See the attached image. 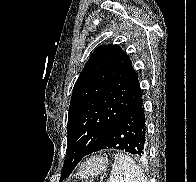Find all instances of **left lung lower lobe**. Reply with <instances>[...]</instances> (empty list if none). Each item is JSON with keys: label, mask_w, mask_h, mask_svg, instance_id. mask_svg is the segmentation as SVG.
Wrapping results in <instances>:
<instances>
[{"label": "left lung lower lobe", "mask_w": 196, "mask_h": 182, "mask_svg": "<svg viewBox=\"0 0 196 182\" xmlns=\"http://www.w3.org/2000/svg\"><path fill=\"white\" fill-rule=\"evenodd\" d=\"M146 131V118L141 93L119 117L93 152L103 149H118L136 157H143L146 154ZM85 155H88L87 152H80V148L76 146L69 150L65 161L69 163L72 160L78 164Z\"/></svg>", "instance_id": "obj_1"}]
</instances>
